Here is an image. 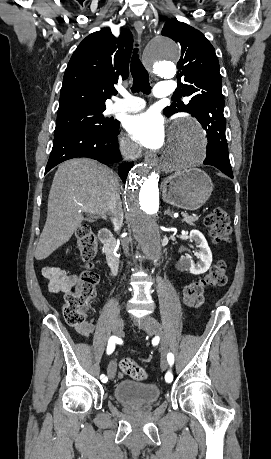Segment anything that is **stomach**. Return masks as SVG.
Masks as SVG:
<instances>
[{
    "label": "stomach",
    "mask_w": 271,
    "mask_h": 459,
    "mask_svg": "<svg viewBox=\"0 0 271 459\" xmlns=\"http://www.w3.org/2000/svg\"><path fill=\"white\" fill-rule=\"evenodd\" d=\"M212 192L211 178L198 168L176 172L162 184L164 202L184 210H198L207 202Z\"/></svg>",
    "instance_id": "0dacf381"
}]
</instances>
